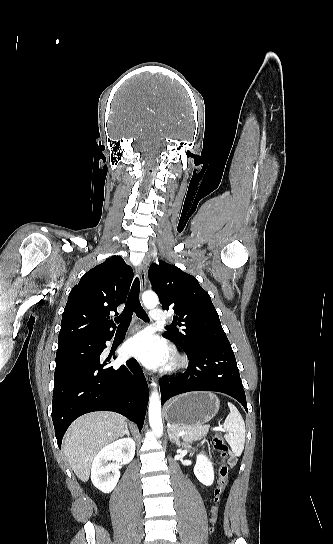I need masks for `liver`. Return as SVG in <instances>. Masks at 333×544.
<instances>
[{
    "mask_svg": "<svg viewBox=\"0 0 333 544\" xmlns=\"http://www.w3.org/2000/svg\"><path fill=\"white\" fill-rule=\"evenodd\" d=\"M124 417L109 412H95L78 418L67 430L63 452L77 477L86 482L97 453L107 444L122 437Z\"/></svg>",
    "mask_w": 333,
    "mask_h": 544,
    "instance_id": "obj_1",
    "label": "liver"
}]
</instances>
